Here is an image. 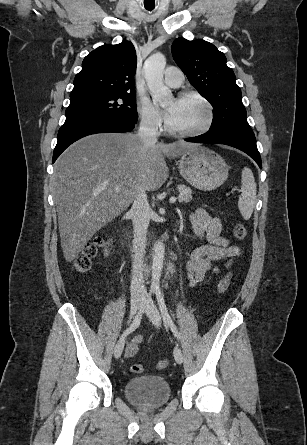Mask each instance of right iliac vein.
<instances>
[{
    "label": "right iliac vein",
    "mask_w": 307,
    "mask_h": 445,
    "mask_svg": "<svg viewBox=\"0 0 307 445\" xmlns=\"http://www.w3.org/2000/svg\"><path fill=\"white\" fill-rule=\"evenodd\" d=\"M142 304V300L139 298H134L131 301V307H130V313L131 318L137 313L138 309L140 308ZM125 335H123L119 341L117 342L115 348H114V357L119 358L123 352L124 345H125Z\"/></svg>",
    "instance_id": "right-iliac-vein-1"
}]
</instances>
